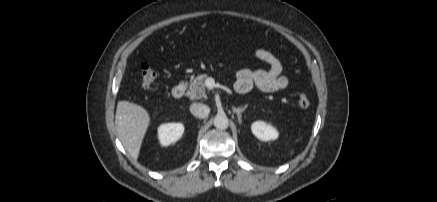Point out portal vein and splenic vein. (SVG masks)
Segmentation results:
<instances>
[{
	"label": "portal vein and splenic vein",
	"mask_w": 437,
	"mask_h": 202,
	"mask_svg": "<svg viewBox=\"0 0 437 202\" xmlns=\"http://www.w3.org/2000/svg\"><path fill=\"white\" fill-rule=\"evenodd\" d=\"M214 85H215V82H214L213 79L209 78V79L206 80V86H207L208 88L211 89V88L214 87Z\"/></svg>",
	"instance_id": "obj_1"
}]
</instances>
